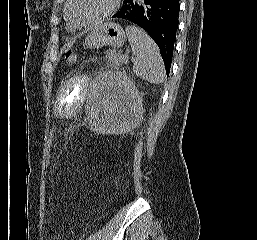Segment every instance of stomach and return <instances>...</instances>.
<instances>
[{
    "label": "stomach",
    "instance_id": "obj_1",
    "mask_svg": "<svg viewBox=\"0 0 257 240\" xmlns=\"http://www.w3.org/2000/svg\"><path fill=\"white\" fill-rule=\"evenodd\" d=\"M125 32L114 22H105L95 26L85 38L86 48L96 49L106 45L121 47L125 42Z\"/></svg>",
    "mask_w": 257,
    "mask_h": 240
}]
</instances>
